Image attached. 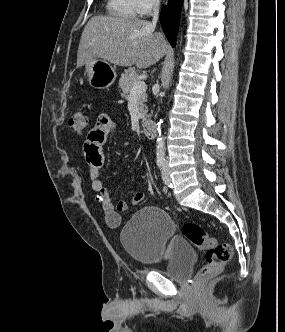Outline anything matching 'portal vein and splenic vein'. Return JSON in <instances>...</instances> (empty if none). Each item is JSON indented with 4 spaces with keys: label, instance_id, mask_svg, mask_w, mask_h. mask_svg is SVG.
<instances>
[{
    "label": "portal vein and splenic vein",
    "instance_id": "portal-vein-and-splenic-vein-1",
    "mask_svg": "<svg viewBox=\"0 0 285 332\" xmlns=\"http://www.w3.org/2000/svg\"><path fill=\"white\" fill-rule=\"evenodd\" d=\"M146 89V83L144 81H138L134 84L130 95H136L144 92Z\"/></svg>",
    "mask_w": 285,
    "mask_h": 332
}]
</instances>
